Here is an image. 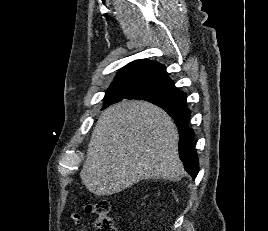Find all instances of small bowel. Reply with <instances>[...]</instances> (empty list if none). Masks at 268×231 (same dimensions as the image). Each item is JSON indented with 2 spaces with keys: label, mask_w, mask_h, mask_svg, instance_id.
<instances>
[{
  "label": "small bowel",
  "mask_w": 268,
  "mask_h": 231,
  "mask_svg": "<svg viewBox=\"0 0 268 231\" xmlns=\"http://www.w3.org/2000/svg\"><path fill=\"white\" fill-rule=\"evenodd\" d=\"M83 209H84L85 212H91L92 207L90 205H86V206H84ZM71 221H72V223L74 225H80L82 219H81L80 215H78L77 213H74V214L71 215ZM76 231H83V230L79 228Z\"/></svg>",
  "instance_id": "obj_1"
}]
</instances>
